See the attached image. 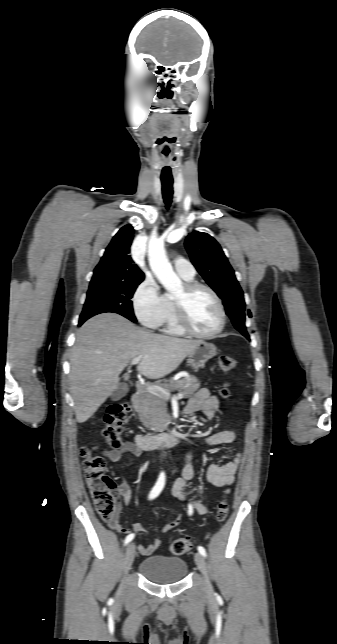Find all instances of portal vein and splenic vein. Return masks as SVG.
<instances>
[{
    "label": "portal vein and splenic vein",
    "mask_w": 337,
    "mask_h": 644,
    "mask_svg": "<svg viewBox=\"0 0 337 644\" xmlns=\"http://www.w3.org/2000/svg\"><path fill=\"white\" fill-rule=\"evenodd\" d=\"M141 359H142V357H141V356L136 357V358L132 359L131 364H132V365H136V364H138V363L141 361ZM146 389H147V391H148V392H150V393H152V394H155V395L162 394V395H164L167 399L170 397V393H169V391L165 390L164 388H162V387H160V386H158V385H150V386H147V387H146ZM175 398H176V399H182V398H183V394H182V393H178V394H177V396H176Z\"/></svg>",
    "instance_id": "portal-vein-and-splenic-vein-1"
}]
</instances>
